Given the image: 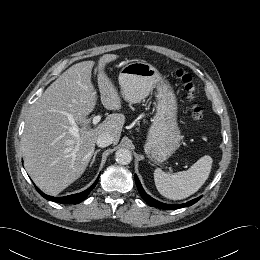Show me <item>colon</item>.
<instances>
[{"label": "colon", "mask_w": 260, "mask_h": 260, "mask_svg": "<svg viewBox=\"0 0 260 260\" xmlns=\"http://www.w3.org/2000/svg\"><path fill=\"white\" fill-rule=\"evenodd\" d=\"M174 74L178 79L182 81L187 98L189 100H193L195 88H194L192 76L180 69L175 70ZM192 116L195 121L198 122L202 121V117H203L202 111L196 104L193 105Z\"/></svg>", "instance_id": "1"}]
</instances>
